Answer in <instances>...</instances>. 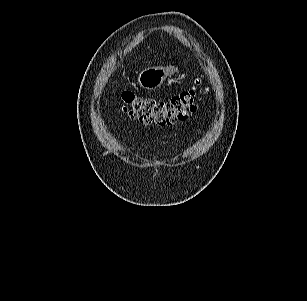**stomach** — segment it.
<instances>
[{
	"instance_id": "obj_1",
	"label": "stomach",
	"mask_w": 307,
	"mask_h": 301,
	"mask_svg": "<svg viewBox=\"0 0 307 301\" xmlns=\"http://www.w3.org/2000/svg\"><path fill=\"white\" fill-rule=\"evenodd\" d=\"M177 71L178 69L174 66L150 67L139 73L137 81L140 87L153 90L160 87L168 76Z\"/></svg>"
}]
</instances>
